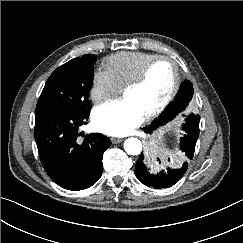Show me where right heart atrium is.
<instances>
[{"label":"right heart atrium","mask_w":243,"mask_h":243,"mask_svg":"<svg viewBox=\"0 0 243 243\" xmlns=\"http://www.w3.org/2000/svg\"><path fill=\"white\" fill-rule=\"evenodd\" d=\"M121 90L122 88L107 69H97L93 73L90 98L95 104H102L117 97Z\"/></svg>","instance_id":"obj_1"}]
</instances>
